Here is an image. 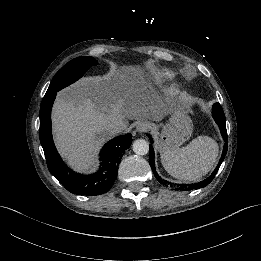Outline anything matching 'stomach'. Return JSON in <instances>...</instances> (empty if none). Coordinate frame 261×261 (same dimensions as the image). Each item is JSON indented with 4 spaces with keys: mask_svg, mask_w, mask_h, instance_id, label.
I'll return each mask as SVG.
<instances>
[{
    "mask_svg": "<svg viewBox=\"0 0 261 261\" xmlns=\"http://www.w3.org/2000/svg\"><path fill=\"white\" fill-rule=\"evenodd\" d=\"M172 100L174 113L169 122L163 126L160 138L156 142V149L161 153H171L188 140L193 131L190 116L192 97L184 90L176 89L169 95Z\"/></svg>",
    "mask_w": 261,
    "mask_h": 261,
    "instance_id": "0dacf381",
    "label": "stomach"
}]
</instances>
